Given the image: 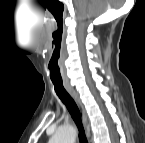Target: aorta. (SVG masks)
<instances>
[{
  "instance_id": "obj_1",
  "label": "aorta",
  "mask_w": 145,
  "mask_h": 143,
  "mask_svg": "<svg viewBox=\"0 0 145 143\" xmlns=\"http://www.w3.org/2000/svg\"><path fill=\"white\" fill-rule=\"evenodd\" d=\"M76 133L72 127H61L51 138L52 143H74Z\"/></svg>"
}]
</instances>
